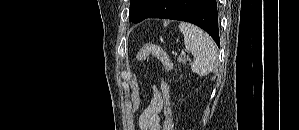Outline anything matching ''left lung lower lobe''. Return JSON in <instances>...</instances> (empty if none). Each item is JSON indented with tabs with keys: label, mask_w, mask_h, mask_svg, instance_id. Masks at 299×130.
<instances>
[{
	"label": "left lung lower lobe",
	"mask_w": 299,
	"mask_h": 130,
	"mask_svg": "<svg viewBox=\"0 0 299 130\" xmlns=\"http://www.w3.org/2000/svg\"><path fill=\"white\" fill-rule=\"evenodd\" d=\"M148 3L149 10L142 20L167 18L193 23L204 29L220 47L216 0H149Z\"/></svg>",
	"instance_id": "left-lung-lower-lobe-1"
}]
</instances>
